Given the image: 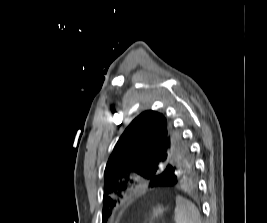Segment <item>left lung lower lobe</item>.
<instances>
[{"label": "left lung lower lobe", "mask_w": 267, "mask_h": 223, "mask_svg": "<svg viewBox=\"0 0 267 223\" xmlns=\"http://www.w3.org/2000/svg\"><path fill=\"white\" fill-rule=\"evenodd\" d=\"M194 176L197 171H164V173H153L150 182L151 192L161 194H180V190L195 189Z\"/></svg>", "instance_id": "obj_1"}]
</instances>
